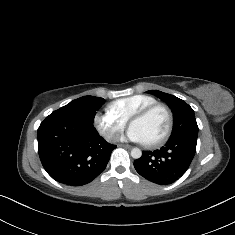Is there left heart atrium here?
Listing matches in <instances>:
<instances>
[{"mask_svg": "<svg viewBox=\"0 0 235 235\" xmlns=\"http://www.w3.org/2000/svg\"><path fill=\"white\" fill-rule=\"evenodd\" d=\"M115 139L118 141L129 140L135 143H145L142 134L133 126H131L125 134L117 135Z\"/></svg>", "mask_w": 235, "mask_h": 235, "instance_id": "39dd6f15", "label": "left heart atrium"}]
</instances>
